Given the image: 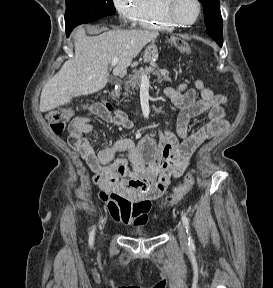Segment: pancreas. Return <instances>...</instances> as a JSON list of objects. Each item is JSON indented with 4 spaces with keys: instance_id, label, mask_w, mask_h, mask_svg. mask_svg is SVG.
Listing matches in <instances>:
<instances>
[{
    "instance_id": "obj_1",
    "label": "pancreas",
    "mask_w": 273,
    "mask_h": 288,
    "mask_svg": "<svg viewBox=\"0 0 273 288\" xmlns=\"http://www.w3.org/2000/svg\"><path fill=\"white\" fill-rule=\"evenodd\" d=\"M151 74H155L157 76L159 83L163 81L171 82L169 72L166 69L155 71L153 67L141 68L140 70L135 71L134 74L129 77V80L126 81L124 95L128 96L129 94H134V90H138L141 85L142 76L148 75V77H150Z\"/></svg>"
}]
</instances>
